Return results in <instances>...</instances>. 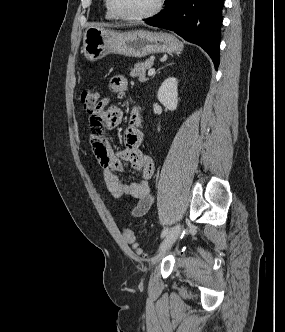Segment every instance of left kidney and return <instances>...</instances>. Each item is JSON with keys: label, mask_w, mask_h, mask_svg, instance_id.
<instances>
[{"label": "left kidney", "mask_w": 285, "mask_h": 332, "mask_svg": "<svg viewBox=\"0 0 285 332\" xmlns=\"http://www.w3.org/2000/svg\"><path fill=\"white\" fill-rule=\"evenodd\" d=\"M158 100L170 111L178 105V81L174 77L167 78L160 86L157 93Z\"/></svg>", "instance_id": "left-kidney-1"}]
</instances>
